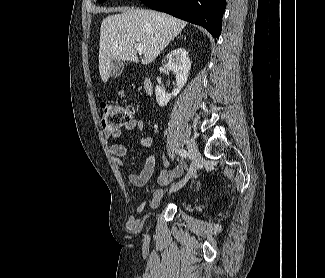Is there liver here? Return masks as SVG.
<instances>
[{
    "instance_id": "obj_1",
    "label": "liver",
    "mask_w": 325,
    "mask_h": 278,
    "mask_svg": "<svg viewBox=\"0 0 325 278\" xmlns=\"http://www.w3.org/2000/svg\"><path fill=\"white\" fill-rule=\"evenodd\" d=\"M121 12L107 16L100 28L99 72L106 83L112 70V61L139 62L135 43H142L141 63H151L182 31L186 22L152 10L115 8Z\"/></svg>"
}]
</instances>
